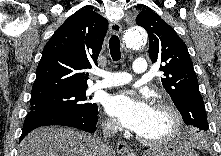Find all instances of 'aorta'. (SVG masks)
<instances>
[{"label": "aorta", "mask_w": 221, "mask_h": 156, "mask_svg": "<svg viewBox=\"0 0 221 156\" xmlns=\"http://www.w3.org/2000/svg\"><path fill=\"white\" fill-rule=\"evenodd\" d=\"M123 39L125 46L130 49H138L147 43L146 32L137 26L128 28Z\"/></svg>", "instance_id": "1"}]
</instances>
